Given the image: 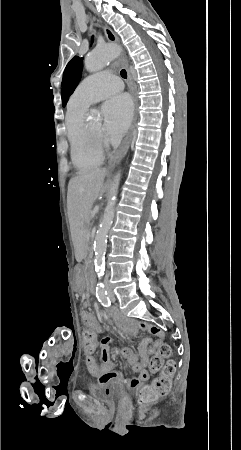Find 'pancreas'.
<instances>
[{
  "label": "pancreas",
  "instance_id": "pancreas-1",
  "mask_svg": "<svg viewBox=\"0 0 241 450\" xmlns=\"http://www.w3.org/2000/svg\"><path fill=\"white\" fill-rule=\"evenodd\" d=\"M84 232H85V238H86V240H88L87 236H88L89 230H84Z\"/></svg>",
  "mask_w": 241,
  "mask_h": 450
}]
</instances>
